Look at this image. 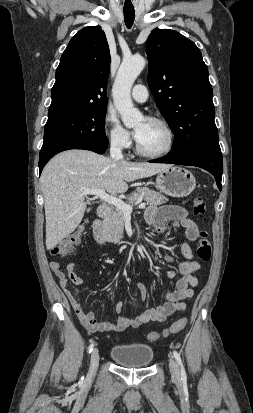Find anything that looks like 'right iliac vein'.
<instances>
[{
    "instance_id": "1",
    "label": "right iliac vein",
    "mask_w": 253,
    "mask_h": 413,
    "mask_svg": "<svg viewBox=\"0 0 253 413\" xmlns=\"http://www.w3.org/2000/svg\"><path fill=\"white\" fill-rule=\"evenodd\" d=\"M98 365H99V352H98V349L95 348L91 353L90 369H89V373L87 376L88 380H91L94 377L96 370L98 368Z\"/></svg>"
}]
</instances>
